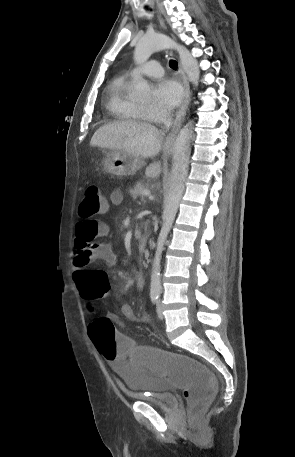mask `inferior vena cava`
Instances as JSON below:
<instances>
[{
	"label": "inferior vena cava",
	"mask_w": 295,
	"mask_h": 457,
	"mask_svg": "<svg viewBox=\"0 0 295 457\" xmlns=\"http://www.w3.org/2000/svg\"><path fill=\"white\" fill-rule=\"evenodd\" d=\"M161 119L165 125V128L169 129L172 125V114L170 110H163Z\"/></svg>",
	"instance_id": "1"
}]
</instances>
